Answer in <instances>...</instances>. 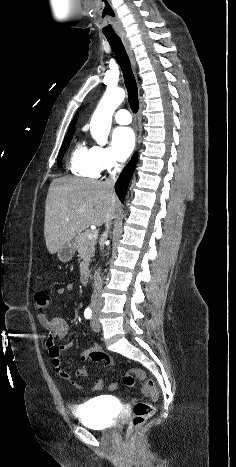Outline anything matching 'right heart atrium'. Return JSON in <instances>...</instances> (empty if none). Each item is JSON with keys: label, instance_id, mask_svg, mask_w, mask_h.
Instances as JSON below:
<instances>
[{"label": "right heart atrium", "instance_id": "d8ad5b80", "mask_svg": "<svg viewBox=\"0 0 236 467\" xmlns=\"http://www.w3.org/2000/svg\"><path fill=\"white\" fill-rule=\"evenodd\" d=\"M92 160L99 172H112L118 163L109 147L96 144L91 147Z\"/></svg>", "mask_w": 236, "mask_h": 467}]
</instances>
